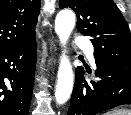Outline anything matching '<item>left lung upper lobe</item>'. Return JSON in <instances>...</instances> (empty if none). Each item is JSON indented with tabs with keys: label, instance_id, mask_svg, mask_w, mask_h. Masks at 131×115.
<instances>
[{
	"label": "left lung upper lobe",
	"instance_id": "1",
	"mask_svg": "<svg viewBox=\"0 0 131 115\" xmlns=\"http://www.w3.org/2000/svg\"><path fill=\"white\" fill-rule=\"evenodd\" d=\"M77 15L76 27L91 37L96 60L131 73V35L120 10L112 0H60Z\"/></svg>",
	"mask_w": 131,
	"mask_h": 115
}]
</instances>
